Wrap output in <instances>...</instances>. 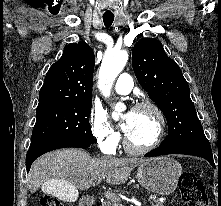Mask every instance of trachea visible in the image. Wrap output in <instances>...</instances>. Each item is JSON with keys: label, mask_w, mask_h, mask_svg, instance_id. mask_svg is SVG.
Returning <instances> with one entry per match:
<instances>
[{"label": "trachea", "mask_w": 221, "mask_h": 206, "mask_svg": "<svg viewBox=\"0 0 221 206\" xmlns=\"http://www.w3.org/2000/svg\"><path fill=\"white\" fill-rule=\"evenodd\" d=\"M113 21H114L113 15L103 16V22L106 27H110L112 25Z\"/></svg>", "instance_id": "3493384b"}]
</instances>
